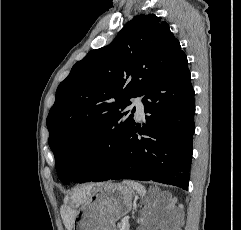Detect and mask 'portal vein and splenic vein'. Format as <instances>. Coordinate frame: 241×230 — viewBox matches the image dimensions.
<instances>
[{
    "instance_id": "18ae733b",
    "label": "portal vein and splenic vein",
    "mask_w": 241,
    "mask_h": 230,
    "mask_svg": "<svg viewBox=\"0 0 241 230\" xmlns=\"http://www.w3.org/2000/svg\"><path fill=\"white\" fill-rule=\"evenodd\" d=\"M122 225H128V219L127 218H124L122 219Z\"/></svg>"
}]
</instances>
